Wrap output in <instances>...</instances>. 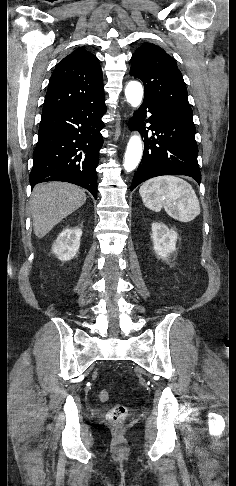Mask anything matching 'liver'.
Wrapping results in <instances>:
<instances>
[{
    "label": "liver",
    "mask_w": 236,
    "mask_h": 486,
    "mask_svg": "<svg viewBox=\"0 0 236 486\" xmlns=\"http://www.w3.org/2000/svg\"><path fill=\"white\" fill-rule=\"evenodd\" d=\"M85 201V191L70 183L49 182L35 186L30 202L35 235L38 238L44 237Z\"/></svg>",
    "instance_id": "6515ba94"
}]
</instances>
